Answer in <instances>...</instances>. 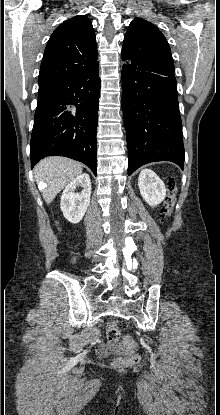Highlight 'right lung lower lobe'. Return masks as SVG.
Here are the masks:
<instances>
[{
	"label": "right lung lower lobe",
	"instance_id": "obj_1",
	"mask_svg": "<svg viewBox=\"0 0 220 415\" xmlns=\"http://www.w3.org/2000/svg\"><path fill=\"white\" fill-rule=\"evenodd\" d=\"M98 66L38 91L30 142L31 168L46 156H65L86 164L96 175Z\"/></svg>",
	"mask_w": 220,
	"mask_h": 415
}]
</instances>
